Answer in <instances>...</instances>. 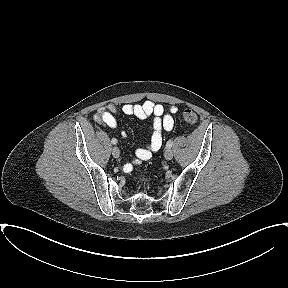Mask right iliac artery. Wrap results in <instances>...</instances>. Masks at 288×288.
Segmentation results:
<instances>
[{
	"label": "right iliac artery",
	"instance_id": "obj_1",
	"mask_svg": "<svg viewBox=\"0 0 288 288\" xmlns=\"http://www.w3.org/2000/svg\"><path fill=\"white\" fill-rule=\"evenodd\" d=\"M111 143L115 145V144L117 143V139L113 138V139L111 140Z\"/></svg>",
	"mask_w": 288,
	"mask_h": 288
}]
</instances>
